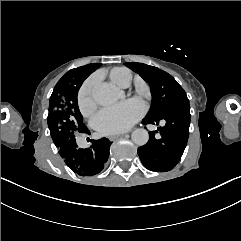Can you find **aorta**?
I'll use <instances>...</instances> for the list:
<instances>
[{
  "instance_id": "aorta-1",
  "label": "aorta",
  "mask_w": 241,
  "mask_h": 241,
  "mask_svg": "<svg viewBox=\"0 0 241 241\" xmlns=\"http://www.w3.org/2000/svg\"><path fill=\"white\" fill-rule=\"evenodd\" d=\"M120 92L117 87L110 83H100L96 85L92 91L93 99L96 103L102 106H108L115 103L119 98ZM132 141L138 145L143 146L149 140V133L146 129L138 128L131 134Z\"/></svg>"
}]
</instances>
